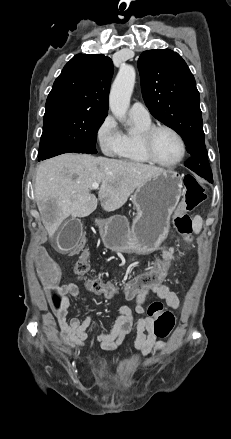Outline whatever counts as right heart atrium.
<instances>
[{
    "label": "right heart atrium",
    "instance_id": "obj_1",
    "mask_svg": "<svg viewBox=\"0 0 231 439\" xmlns=\"http://www.w3.org/2000/svg\"><path fill=\"white\" fill-rule=\"evenodd\" d=\"M121 132L113 116L106 115L96 129V139L107 156L115 155L120 146Z\"/></svg>",
    "mask_w": 231,
    "mask_h": 439
}]
</instances>
